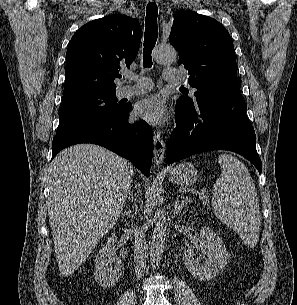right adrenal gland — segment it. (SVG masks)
<instances>
[{"instance_id": "right-adrenal-gland-1", "label": "right adrenal gland", "mask_w": 297, "mask_h": 305, "mask_svg": "<svg viewBox=\"0 0 297 305\" xmlns=\"http://www.w3.org/2000/svg\"><path fill=\"white\" fill-rule=\"evenodd\" d=\"M135 211H136V207H135ZM122 215L126 216L127 218H131L134 216V214H132L131 211H127V212L125 211Z\"/></svg>"}]
</instances>
